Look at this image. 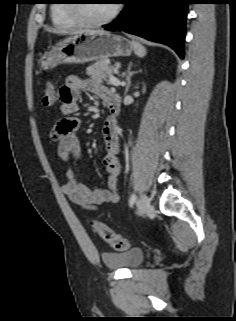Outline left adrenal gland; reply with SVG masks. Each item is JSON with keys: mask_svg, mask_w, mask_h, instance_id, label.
<instances>
[{"mask_svg": "<svg viewBox=\"0 0 236 321\" xmlns=\"http://www.w3.org/2000/svg\"><path fill=\"white\" fill-rule=\"evenodd\" d=\"M131 67H132V63H129L128 65V68H127V71L125 73L126 75V81H127V84H126V89H125V94L128 92L129 88H130V85H131V77L133 74L137 73V72H132L131 71ZM141 70H139L140 72Z\"/></svg>", "mask_w": 236, "mask_h": 321, "instance_id": "obj_1", "label": "left adrenal gland"}]
</instances>
